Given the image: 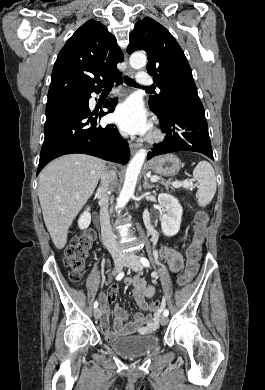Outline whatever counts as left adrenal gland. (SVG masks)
<instances>
[{"label": "left adrenal gland", "instance_id": "obj_1", "mask_svg": "<svg viewBox=\"0 0 265 390\" xmlns=\"http://www.w3.org/2000/svg\"><path fill=\"white\" fill-rule=\"evenodd\" d=\"M153 187H154V185L150 184V183L148 182V178H147L146 176H144L143 188H144V189H147V188H153Z\"/></svg>", "mask_w": 265, "mask_h": 390}]
</instances>
